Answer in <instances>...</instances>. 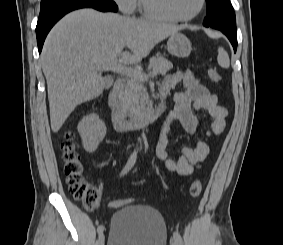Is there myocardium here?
<instances>
[{"mask_svg":"<svg viewBox=\"0 0 283 245\" xmlns=\"http://www.w3.org/2000/svg\"><path fill=\"white\" fill-rule=\"evenodd\" d=\"M140 1H141L142 10L147 17L155 20L175 22V23L188 22L195 19L198 15L202 13L206 5V0H200L199 7L193 14L185 17H172L154 8L149 0H140Z\"/></svg>","mask_w":283,"mask_h":245,"instance_id":"1","label":"myocardium"}]
</instances>
